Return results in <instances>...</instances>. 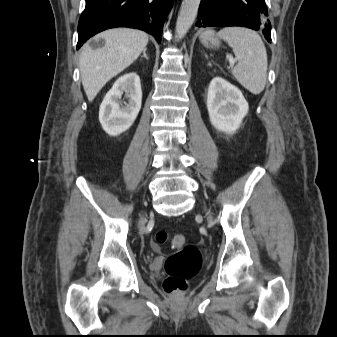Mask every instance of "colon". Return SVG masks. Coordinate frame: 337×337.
<instances>
[{"label": "colon", "instance_id": "colon-1", "mask_svg": "<svg viewBox=\"0 0 337 337\" xmlns=\"http://www.w3.org/2000/svg\"><path fill=\"white\" fill-rule=\"evenodd\" d=\"M169 239L165 231H159L155 235V243L162 245ZM171 244L177 249L165 262L166 278L164 288L168 293L184 292L188 280L194 277L201 268L202 256L199 249L193 245H186L183 235L172 236Z\"/></svg>", "mask_w": 337, "mask_h": 337}]
</instances>
